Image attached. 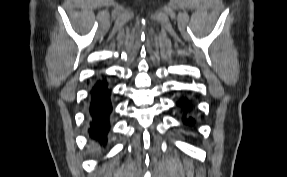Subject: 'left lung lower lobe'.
<instances>
[{
	"label": "left lung lower lobe",
	"instance_id": "1",
	"mask_svg": "<svg viewBox=\"0 0 287 177\" xmlns=\"http://www.w3.org/2000/svg\"><path fill=\"white\" fill-rule=\"evenodd\" d=\"M177 105L181 106L183 111H184L183 122L185 124L194 125L195 121L193 118H191V117L186 118L187 112L191 111V109H192L191 103L188 101V99L182 98L179 102H177Z\"/></svg>",
	"mask_w": 287,
	"mask_h": 177
}]
</instances>
